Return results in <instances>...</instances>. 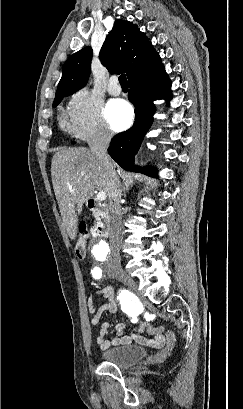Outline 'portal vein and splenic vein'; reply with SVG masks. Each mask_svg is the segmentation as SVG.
I'll list each match as a JSON object with an SVG mask.
<instances>
[{"instance_id": "18ae733b", "label": "portal vein and splenic vein", "mask_w": 243, "mask_h": 409, "mask_svg": "<svg viewBox=\"0 0 243 409\" xmlns=\"http://www.w3.org/2000/svg\"><path fill=\"white\" fill-rule=\"evenodd\" d=\"M96 198L99 201H104L106 199V193L104 191H100L97 193Z\"/></svg>"}]
</instances>
